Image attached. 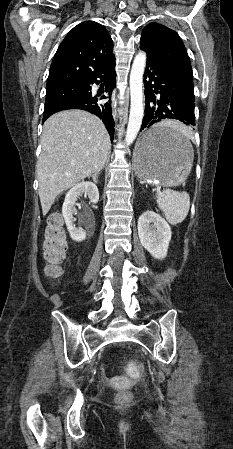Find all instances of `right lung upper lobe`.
<instances>
[{"mask_svg": "<svg viewBox=\"0 0 233 449\" xmlns=\"http://www.w3.org/2000/svg\"><path fill=\"white\" fill-rule=\"evenodd\" d=\"M115 62L107 30L94 21L75 26L60 44L50 67L47 90L84 85Z\"/></svg>", "mask_w": 233, "mask_h": 449, "instance_id": "obj_1", "label": "right lung upper lobe"}]
</instances>
